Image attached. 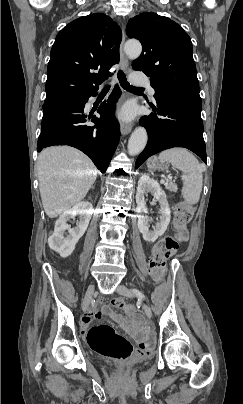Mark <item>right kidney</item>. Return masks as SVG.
I'll use <instances>...</instances> for the list:
<instances>
[{"label": "right kidney", "instance_id": "ca27d5eb", "mask_svg": "<svg viewBox=\"0 0 243 404\" xmlns=\"http://www.w3.org/2000/svg\"><path fill=\"white\" fill-rule=\"evenodd\" d=\"M91 204L89 202H80L73 206L71 210L63 212L59 220H57L54 228V232L50 238H48V246L57 254H60L61 258H68L75 250V244L85 234L88 224L91 220V214L89 212ZM76 216H79V222L75 228H70V218L75 220ZM65 230H68L66 234Z\"/></svg>", "mask_w": 243, "mask_h": 404}]
</instances>
